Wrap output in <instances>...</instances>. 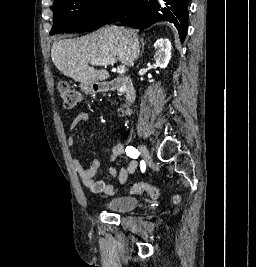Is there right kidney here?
Wrapping results in <instances>:
<instances>
[{
	"label": "right kidney",
	"instance_id": "1",
	"mask_svg": "<svg viewBox=\"0 0 256 267\" xmlns=\"http://www.w3.org/2000/svg\"><path fill=\"white\" fill-rule=\"evenodd\" d=\"M156 52V64L159 68H167L171 60V42L167 38H159L154 44Z\"/></svg>",
	"mask_w": 256,
	"mask_h": 267
}]
</instances>
